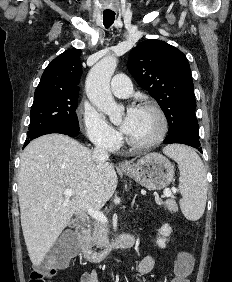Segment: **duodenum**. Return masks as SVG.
<instances>
[{
  "label": "duodenum",
  "mask_w": 232,
  "mask_h": 282,
  "mask_svg": "<svg viewBox=\"0 0 232 282\" xmlns=\"http://www.w3.org/2000/svg\"><path fill=\"white\" fill-rule=\"evenodd\" d=\"M76 242L80 252L87 261L98 263L103 261L115 249L132 247L135 240L129 234H123L112 240L103 249L95 251L88 242L86 228L78 226L76 229Z\"/></svg>",
  "instance_id": "duodenum-1"
}]
</instances>
